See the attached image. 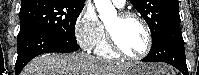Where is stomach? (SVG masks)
Returning <instances> with one entry per match:
<instances>
[{"label": "stomach", "instance_id": "obj_1", "mask_svg": "<svg viewBox=\"0 0 199 75\" xmlns=\"http://www.w3.org/2000/svg\"><path fill=\"white\" fill-rule=\"evenodd\" d=\"M167 66L159 63H137L131 65L125 75H169Z\"/></svg>", "mask_w": 199, "mask_h": 75}]
</instances>
